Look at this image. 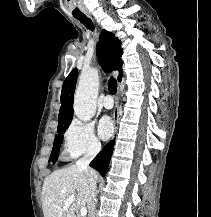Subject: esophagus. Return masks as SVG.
<instances>
[{"instance_id": "34e87169", "label": "esophagus", "mask_w": 211, "mask_h": 217, "mask_svg": "<svg viewBox=\"0 0 211 217\" xmlns=\"http://www.w3.org/2000/svg\"><path fill=\"white\" fill-rule=\"evenodd\" d=\"M118 103H119V95L117 94V96H116V105H115L114 114H113L115 127H116V124L118 123Z\"/></svg>"}]
</instances>
